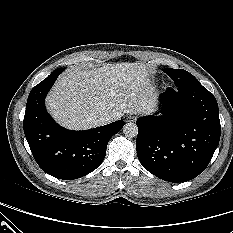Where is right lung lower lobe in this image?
Wrapping results in <instances>:
<instances>
[{"label":"right lung lower lobe","instance_id":"right-lung-lower-lobe-1","mask_svg":"<svg viewBox=\"0 0 233 233\" xmlns=\"http://www.w3.org/2000/svg\"><path fill=\"white\" fill-rule=\"evenodd\" d=\"M63 70L53 71L31 90L23 127L41 169L56 178L72 180L89 174L101 164L110 138L122 129L124 121L84 131L59 126L46 111L45 97Z\"/></svg>","mask_w":233,"mask_h":233}]
</instances>
